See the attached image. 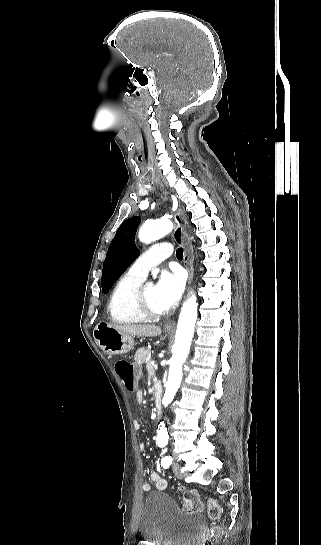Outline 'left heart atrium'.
Segmentation results:
<instances>
[{"label": "left heart atrium", "instance_id": "obj_1", "mask_svg": "<svg viewBox=\"0 0 321 545\" xmlns=\"http://www.w3.org/2000/svg\"><path fill=\"white\" fill-rule=\"evenodd\" d=\"M185 277L181 270H164L159 274L156 286V302L164 313L172 310L182 296Z\"/></svg>", "mask_w": 321, "mask_h": 545}]
</instances>
